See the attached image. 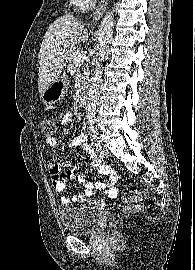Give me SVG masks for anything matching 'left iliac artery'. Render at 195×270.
Listing matches in <instances>:
<instances>
[{
    "label": "left iliac artery",
    "mask_w": 195,
    "mask_h": 270,
    "mask_svg": "<svg viewBox=\"0 0 195 270\" xmlns=\"http://www.w3.org/2000/svg\"><path fill=\"white\" fill-rule=\"evenodd\" d=\"M90 131H91V133H92L93 139H94V140H97L96 130H95V128H94L93 125L90 126Z\"/></svg>",
    "instance_id": "obj_1"
}]
</instances>
